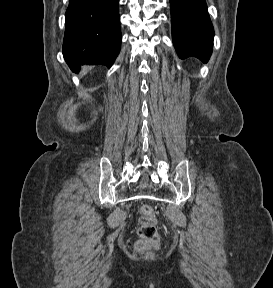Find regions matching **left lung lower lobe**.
Returning a JSON list of instances; mask_svg holds the SVG:
<instances>
[{
    "instance_id": "1",
    "label": "left lung lower lobe",
    "mask_w": 273,
    "mask_h": 288,
    "mask_svg": "<svg viewBox=\"0 0 273 288\" xmlns=\"http://www.w3.org/2000/svg\"><path fill=\"white\" fill-rule=\"evenodd\" d=\"M172 38L179 58L194 56L207 63L214 30L205 0H170Z\"/></svg>"
}]
</instances>
